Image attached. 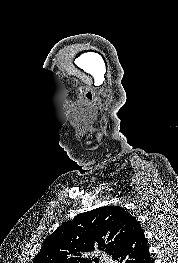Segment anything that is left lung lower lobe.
<instances>
[{
  "instance_id": "1",
  "label": "left lung lower lobe",
  "mask_w": 178,
  "mask_h": 263,
  "mask_svg": "<svg viewBox=\"0 0 178 263\" xmlns=\"http://www.w3.org/2000/svg\"><path fill=\"white\" fill-rule=\"evenodd\" d=\"M113 258L120 263H154L144 232L135 217L127 227Z\"/></svg>"
}]
</instances>
